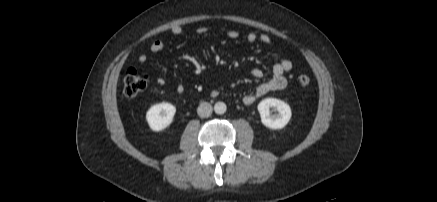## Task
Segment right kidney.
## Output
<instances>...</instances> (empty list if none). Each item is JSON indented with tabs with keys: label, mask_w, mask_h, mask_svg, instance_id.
<instances>
[{
	"label": "right kidney",
	"mask_w": 437,
	"mask_h": 202,
	"mask_svg": "<svg viewBox=\"0 0 437 202\" xmlns=\"http://www.w3.org/2000/svg\"><path fill=\"white\" fill-rule=\"evenodd\" d=\"M175 106L170 103L153 105L146 113V120L153 131H162L173 121Z\"/></svg>",
	"instance_id": "obj_1"
}]
</instances>
